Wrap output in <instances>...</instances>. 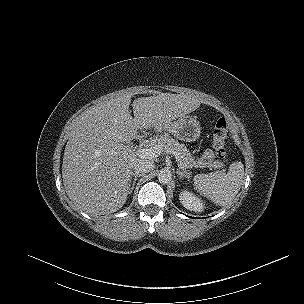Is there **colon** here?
<instances>
[{
    "label": "colon",
    "mask_w": 304,
    "mask_h": 304,
    "mask_svg": "<svg viewBox=\"0 0 304 304\" xmlns=\"http://www.w3.org/2000/svg\"><path fill=\"white\" fill-rule=\"evenodd\" d=\"M228 124L224 118L217 121L213 133H212V144L216 154L221 159L227 158V140Z\"/></svg>",
    "instance_id": "5ec220e1"
}]
</instances>
